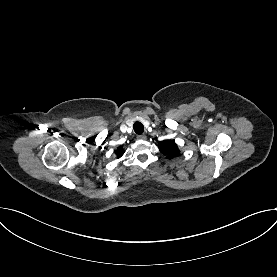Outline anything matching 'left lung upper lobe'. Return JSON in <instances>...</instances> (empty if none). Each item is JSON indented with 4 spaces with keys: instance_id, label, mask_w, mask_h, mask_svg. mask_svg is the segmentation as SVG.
<instances>
[{
    "instance_id": "obj_1",
    "label": "left lung upper lobe",
    "mask_w": 277,
    "mask_h": 277,
    "mask_svg": "<svg viewBox=\"0 0 277 277\" xmlns=\"http://www.w3.org/2000/svg\"><path fill=\"white\" fill-rule=\"evenodd\" d=\"M160 151L167 155L168 158H173L180 154V151L173 140H165L159 144Z\"/></svg>"
}]
</instances>
